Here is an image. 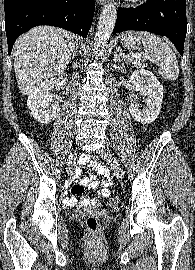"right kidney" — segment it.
Wrapping results in <instances>:
<instances>
[{
    "instance_id": "1",
    "label": "right kidney",
    "mask_w": 195,
    "mask_h": 270,
    "mask_svg": "<svg viewBox=\"0 0 195 270\" xmlns=\"http://www.w3.org/2000/svg\"><path fill=\"white\" fill-rule=\"evenodd\" d=\"M65 83V79L53 77L50 80L42 82L29 95L27 106L36 121L47 124L58 116L60 107L58 102L50 98V91L54 88L60 90Z\"/></svg>"
}]
</instances>
